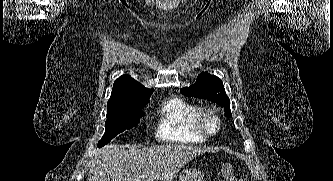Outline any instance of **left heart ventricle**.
I'll return each instance as SVG.
<instances>
[{
	"label": "left heart ventricle",
	"mask_w": 333,
	"mask_h": 181,
	"mask_svg": "<svg viewBox=\"0 0 333 181\" xmlns=\"http://www.w3.org/2000/svg\"><path fill=\"white\" fill-rule=\"evenodd\" d=\"M205 126L207 127L208 130H214L215 128V123L212 119L208 118L206 121H205Z\"/></svg>",
	"instance_id": "left-heart-ventricle-1"
}]
</instances>
